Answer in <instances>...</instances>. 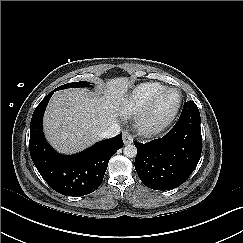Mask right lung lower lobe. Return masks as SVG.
<instances>
[{
  "instance_id": "obj_1",
  "label": "right lung lower lobe",
  "mask_w": 243,
  "mask_h": 243,
  "mask_svg": "<svg viewBox=\"0 0 243 243\" xmlns=\"http://www.w3.org/2000/svg\"><path fill=\"white\" fill-rule=\"evenodd\" d=\"M49 93L36 107L30 124V155L42 178L66 196H83L94 192L102 183L108 162L123 147L122 134L100 141L85 151L65 156L47 143L42 129Z\"/></svg>"
}]
</instances>
